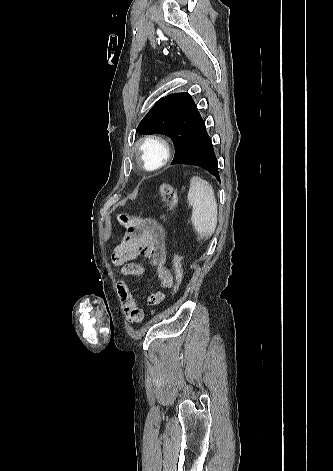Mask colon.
<instances>
[{
	"mask_svg": "<svg viewBox=\"0 0 333 471\" xmlns=\"http://www.w3.org/2000/svg\"><path fill=\"white\" fill-rule=\"evenodd\" d=\"M157 193L168 206L174 211L178 205L177 190L170 184L163 183L157 188ZM173 268L175 274V284L173 286L174 293H178L183 282L182 255L179 250L173 254Z\"/></svg>",
	"mask_w": 333,
	"mask_h": 471,
	"instance_id": "1",
	"label": "colon"
}]
</instances>
